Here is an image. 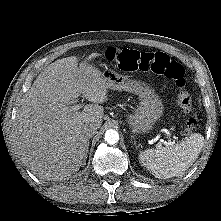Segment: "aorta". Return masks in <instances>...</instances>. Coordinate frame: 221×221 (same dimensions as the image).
<instances>
[{
	"mask_svg": "<svg viewBox=\"0 0 221 221\" xmlns=\"http://www.w3.org/2000/svg\"><path fill=\"white\" fill-rule=\"evenodd\" d=\"M104 139L108 144L113 145L119 141V134L116 130L110 129L105 132Z\"/></svg>",
	"mask_w": 221,
	"mask_h": 221,
	"instance_id": "1",
	"label": "aorta"
}]
</instances>
